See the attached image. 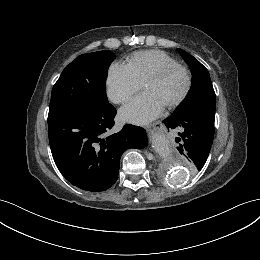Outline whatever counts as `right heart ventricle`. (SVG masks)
Here are the masks:
<instances>
[{
    "instance_id": "obj_1",
    "label": "right heart ventricle",
    "mask_w": 260,
    "mask_h": 260,
    "mask_svg": "<svg viewBox=\"0 0 260 260\" xmlns=\"http://www.w3.org/2000/svg\"><path fill=\"white\" fill-rule=\"evenodd\" d=\"M179 64L178 60L161 50H144L133 53L125 66L134 79L143 84L144 81L160 69Z\"/></svg>"
}]
</instances>
